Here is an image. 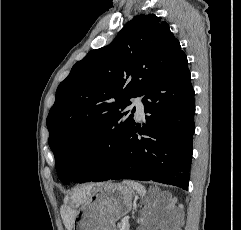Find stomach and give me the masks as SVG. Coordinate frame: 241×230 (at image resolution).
Here are the masks:
<instances>
[{
    "label": "stomach",
    "instance_id": "obj_1",
    "mask_svg": "<svg viewBox=\"0 0 241 230\" xmlns=\"http://www.w3.org/2000/svg\"><path fill=\"white\" fill-rule=\"evenodd\" d=\"M133 189L125 184L101 183L76 211L73 230H115V223L132 208Z\"/></svg>",
    "mask_w": 241,
    "mask_h": 230
}]
</instances>
